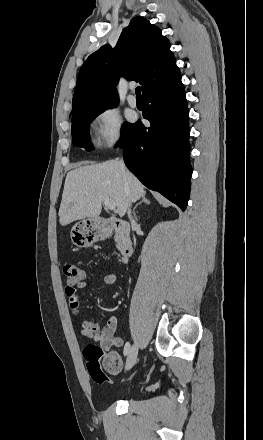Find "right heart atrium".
<instances>
[{
  "label": "right heart atrium",
  "mask_w": 263,
  "mask_h": 440,
  "mask_svg": "<svg viewBox=\"0 0 263 440\" xmlns=\"http://www.w3.org/2000/svg\"><path fill=\"white\" fill-rule=\"evenodd\" d=\"M95 144L100 149H110L123 137V122L119 113L113 108H105L93 119Z\"/></svg>",
  "instance_id": "obj_1"
}]
</instances>
